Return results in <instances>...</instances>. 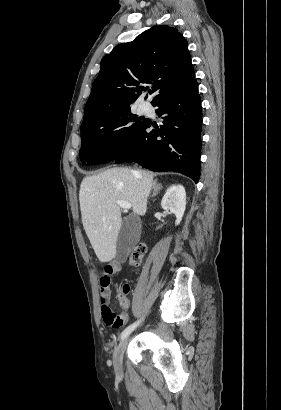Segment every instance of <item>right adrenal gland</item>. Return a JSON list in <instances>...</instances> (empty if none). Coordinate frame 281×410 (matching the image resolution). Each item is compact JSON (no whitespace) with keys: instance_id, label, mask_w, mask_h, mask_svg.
Masks as SVG:
<instances>
[{"instance_id":"obj_1","label":"right adrenal gland","mask_w":281,"mask_h":410,"mask_svg":"<svg viewBox=\"0 0 281 410\" xmlns=\"http://www.w3.org/2000/svg\"><path fill=\"white\" fill-rule=\"evenodd\" d=\"M161 189H162V185L160 183H154L153 194L151 197H155Z\"/></svg>"}]
</instances>
